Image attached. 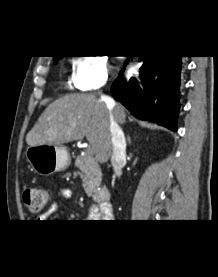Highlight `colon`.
Returning <instances> with one entry per match:
<instances>
[{
  "label": "colon",
  "mask_w": 218,
  "mask_h": 277,
  "mask_svg": "<svg viewBox=\"0 0 218 277\" xmlns=\"http://www.w3.org/2000/svg\"><path fill=\"white\" fill-rule=\"evenodd\" d=\"M50 200V192L45 187H30L23 193V203L31 213L44 210Z\"/></svg>",
  "instance_id": "5ec220e1"
}]
</instances>
